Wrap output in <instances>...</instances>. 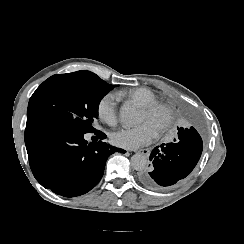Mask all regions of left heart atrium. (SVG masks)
Listing matches in <instances>:
<instances>
[{"instance_id":"left-heart-atrium-1","label":"left heart atrium","mask_w":244,"mask_h":244,"mask_svg":"<svg viewBox=\"0 0 244 244\" xmlns=\"http://www.w3.org/2000/svg\"><path fill=\"white\" fill-rule=\"evenodd\" d=\"M158 137L157 130L149 123L131 129H121L111 135L114 145L134 150L152 144Z\"/></svg>"}]
</instances>
